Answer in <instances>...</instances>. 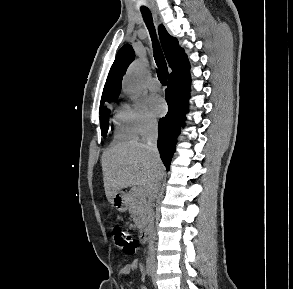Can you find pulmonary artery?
<instances>
[{
	"label": "pulmonary artery",
	"instance_id": "obj_1",
	"mask_svg": "<svg viewBox=\"0 0 293 289\" xmlns=\"http://www.w3.org/2000/svg\"><path fill=\"white\" fill-rule=\"evenodd\" d=\"M148 88L151 91H159L161 89V83L157 78H151L148 81Z\"/></svg>",
	"mask_w": 293,
	"mask_h": 289
}]
</instances>
